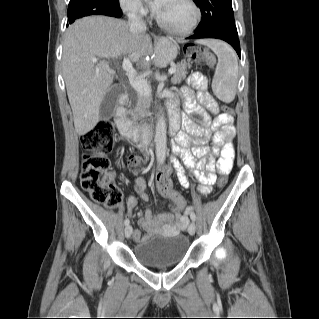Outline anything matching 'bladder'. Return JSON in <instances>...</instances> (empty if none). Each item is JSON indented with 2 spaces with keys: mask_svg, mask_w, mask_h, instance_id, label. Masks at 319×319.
Listing matches in <instances>:
<instances>
[{
  "mask_svg": "<svg viewBox=\"0 0 319 319\" xmlns=\"http://www.w3.org/2000/svg\"><path fill=\"white\" fill-rule=\"evenodd\" d=\"M191 248V242L183 234L151 236L134 247V256L146 266H168L180 263Z\"/></svg>",
  "mask_w": 319,
  "mask_h": 319,
  "instance_id": "31cf9c89",
  "label": "bladder"
}]
</instances>
